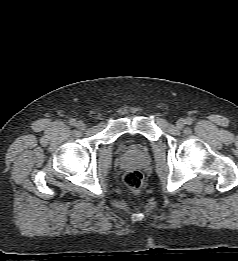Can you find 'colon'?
Returning <instances> with one entry per match:
<instances>
[{"instance_id":"5ec220e1","label":"colon","mask_w":238,"mask_h":261,"mask_svg":"<svg viewBox=\"0 0 238 261\" xmlns=\"http://www.w3.org/2000/svg\"><path fill=\"white\" fill-rule=\"evenodd\" d=\"M124 184L134 194H139L143 186V175L138 170H130L124 176Z\"/></svg>"}]
</instances>
